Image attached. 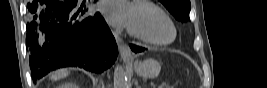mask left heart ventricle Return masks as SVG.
I'll use <instances>...</instances> for the list:
<instances>
[{
    "mask_svg": "<svg viewBox=\"0 0 267 88\" xmlns=\"http://www.w3.org/2000/svg\"><path fill=\"white\" fill-rule=\"evenodd\" d=\"M129 28L154 41H166L173 35L168 20L157 11L145 6H132Z\"/></svg>",
    "mask_w": 267,
    "mask_h": 88,
    "instance_id": "b2bd125f",
    "label": "left heart ventricle"
}]
</instances>
